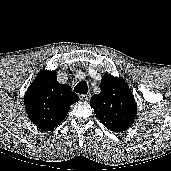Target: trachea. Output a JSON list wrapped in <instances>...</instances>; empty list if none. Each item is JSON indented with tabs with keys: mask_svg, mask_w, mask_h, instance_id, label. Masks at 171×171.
I'll return each mask as SVG.
<instances>
[{
	"mask_svg": "<svg viewBox=\"0 0 171 171\" xmlns=\"http://www.w3.org/2000/svg\"><path fill=\"white\" fill-rule=\"evenodd\" d=\"M74 91L80 94H87L88 92V86L85 81L79 82L75 87Z\"/></svg>",
	"mask_w": 171,
	"mask_h": 171,
	"instance_id": "3493384b",
	"label": "trachea"
}]
</instances>
